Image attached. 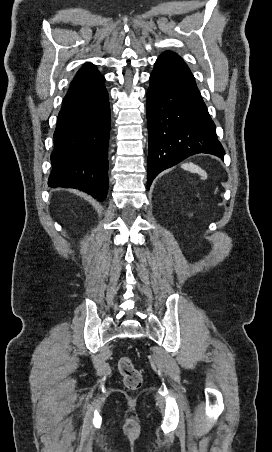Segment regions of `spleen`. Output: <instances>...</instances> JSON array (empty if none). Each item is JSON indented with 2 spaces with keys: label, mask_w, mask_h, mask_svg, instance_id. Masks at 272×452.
I'll return each mask as SVG.
<instances>
[{
  "label": "spleen",
  "mask_w": 272,
  "mask_h": 452,
  "mask_svg": "<svg viewBox=\"0 0 272 452\" xmlns=\"http://www.w3.org/2000/svg\"><path fill=\"white\" fill-rule=\"evenodd\" d=\"M184 170H188V171H190V172H192V173H197V174H199L200 176H202V177H204V178H207V173L202 169V168H200L199 166H197V165H195V164H193V163H185V164H182V166H181Z\"/></svg>",
  "instance_id": "1"
}]
</instances>
